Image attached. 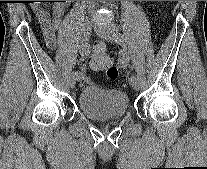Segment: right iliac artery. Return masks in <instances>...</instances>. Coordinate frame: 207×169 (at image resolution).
Masks as SVG:
<instances>
[{
	"label": "right iliac artery",
	"mask_w": 207,
	"mask_h": 169,
	"mask_svg": "<svg viewBox=\"0 0 207 169\" xmlns=\"http://www.w3.org/2000/svg\"><path fill=\"white\" fill-rule=\"evenodd\" d=\"M79 52L81 54V56H87L89 53V49H88V45L85 42V40H82L80 46H79ZM73 75L76 76L77 80H81L83 77L79 72H73Z\"/></svg>",
	"instance_id": "1"
}]
</instances>
